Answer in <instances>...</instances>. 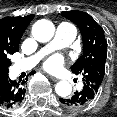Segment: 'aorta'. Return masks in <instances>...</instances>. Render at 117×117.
Masks as SVG:
<instances>
[{
  "label": "aorta",
  "instance_id": "762f6f07",
  "mask_svg": "<svg viewBox=\"0 0 117 117\" xmlns=\"http://www.w3.org/2000/svg\"><path fill=\"white\" fill-rule=\"evenodd\" d=\"M54 24L49 20H38L32 27L33 37L39 42H47L54 36ZM55 91L60 97H67L72 92V86L68 81H60L55 86Z\"/></svg>",
  "mask_w": 117,
  "mask_h": 117
}]
</instances>
